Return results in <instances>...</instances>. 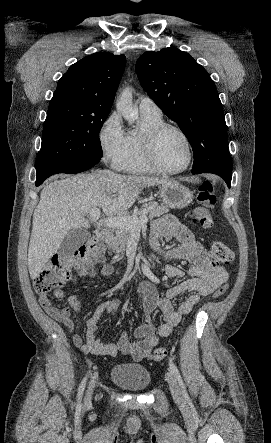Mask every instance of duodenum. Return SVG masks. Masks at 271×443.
<instances>
[{
    "mask_svg": "<svg viewBox=\"0 0 271 443\" xmlns=\"http://www.w3.org/2000/svg\"><path fill=\"white\" fill-rule=\"evenodd\" d=\"M96 236H97L98 240L104 241V242H108L112 238L111 232H109L107 230H100V231H98Z\"/></svg>",
    "mask_w": 271,
    "mask_h": 443,
    "instance_id": "duodenum-1",
    "label": "duodenum"
}]
</instances>
